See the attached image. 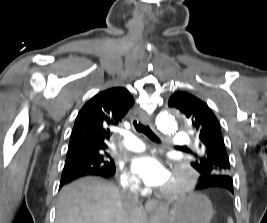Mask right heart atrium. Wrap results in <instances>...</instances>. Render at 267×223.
<instances>
[{"mask_svg": "<svg viewBox=\"0 0 267 223\" xmlns=\"http://www.w3.org/2000/svg\"><path fill=\"white\" fill-rule=\"evenodd\" d=\"M119 181L121 185L131 193H137L140 189L137 180L124 171L119 173Z\"/></svg>", "mask_w": 267, "mask_h": 223, "instance_id": "d8ad5b80", "label": "right heart atrium"}]
</instances>
